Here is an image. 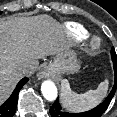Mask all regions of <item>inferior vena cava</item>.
<instances>
[{
  "label": "inferior vena cava",
  "instance_id": "inferior-vena-cava-1",
  "mask_svg": "<svg viewBox=\"0 0 117 117\" xmlns=\"http://www.w3.org/2000/svg\"><path fill=\"white\" fill-rule=\"evenodd\" d=\"M19 70H20V72L23 73L24 75H25V74H28V73L30 72L29 67H26V66L21 67Z\"/></svg>",
  "mask_w": 117,
  "mask_h": 117
}]
</instances>
